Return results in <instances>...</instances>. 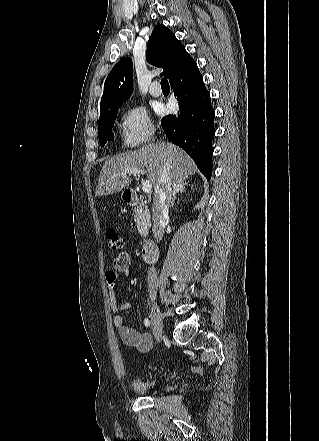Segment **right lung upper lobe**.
I'll return each mask as SVG.
<instances>
[{"label":"right lung upper lobe","instance_id":"right-lung-upper-lobe-1","mask_svg":"<svg viewBox=\"0 0 319 441\" xmlns=\"http://www.w3.org/2000/svg\"><path fill=\"white\" fill-rule=\"evenodd\" d=\"M146 59L163 68L161 75L171 81L194 63L185 47L164 25L154 28L147 45ZM133 66L130 58H123L111 70L105 80L100 110L122 105L132 93Z\"/></svg>","mask_w":319,"mask_h":441}]
</instances>
